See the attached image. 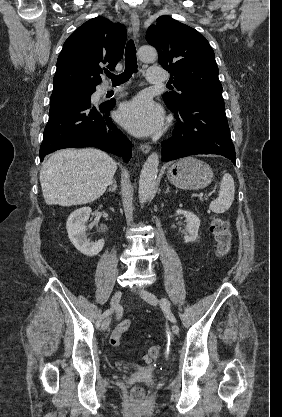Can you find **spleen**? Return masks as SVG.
Listing matches in <instances>:
<instances>
[{"label": "spleen", "mask_w": 282, "mask_h": 417, "mask_svg": "<svg viewBox=\"0 0 282 417\" xmlns=\"http://www.w3.org/2000/svg\"><path fill=\"white\" fill-rule=\"evenodd\" d=\"M235 186L233 176L224 172L220 182V190L217 198L210 202V211L213 213H226L234 200Z\"/></svg>", "instance_id": "3e777b00"}]
</instances>
